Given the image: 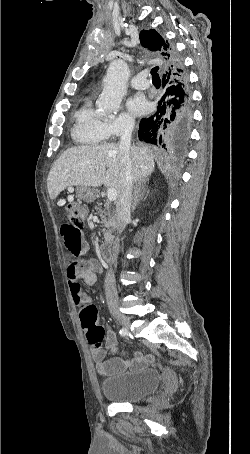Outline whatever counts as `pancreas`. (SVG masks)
<instances>
[{"instance_id":"obj_1","label":"pancreas","mask_w":250,"mask_h":454,"mask_svg":"<svg viewBox=\"0 0 250 454\" xmlns=\"http://www.w3.org/2000/svg\"><path fill=\"white\" fill-rule=\"evenodd\" d=\"M96 209L99 211L102 218L101 223L104 226L103 235L105 242H110L113 240L114 236L112 232L115 230V219L110 209V203L107 201L104 204V208H102V203H98Z\"/></svg>"}]
</instances>
